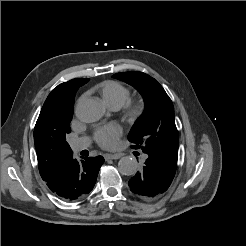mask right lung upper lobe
I'll return each instance as SVG.
<instances>
[{"label":"right lung upper lobe","mask_w":246,"mask_h":246,"mask_svg":"<svg viewBox=\"0 0 246 246\" xmlns=\"http://www.w3.org/2000/svg\"><path fill=\"white\" fill-rule=\"evenodd\" d=\"M88 81L76 78L61 83L51 91L41 109L34 128V144L39 172L46 182L62 163L73 156L66 141L65 124L73 117L77 90Z\"/></svg>","instance_id":"1"}]
</instances>
